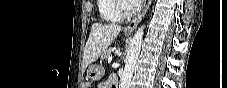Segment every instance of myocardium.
Masks as SVG:
<instances>
[{
  "label": "myocardium",
  "instance_id": "obj_1",
  "mask_svg": "<svg viewBox=\"0 0 227 88\" xmlns=\"http://www.w3.org/2000/svg\"><path fill=\"white\" fill-rule=\"evenodd\" d=\"M130 2V0H117L115 9L120 16L126 18L139 12V8L130 4Z\"/></svg>",
  "mask_w": 227,
  "mask_h": 88
}]
</instances>
